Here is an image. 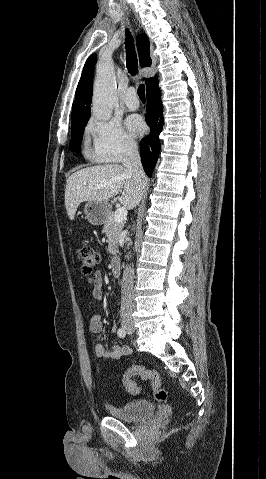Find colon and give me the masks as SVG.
Returning <instances> with one entry per match:
<instances>
[{
	"instance_id": "5ec220e1",
	"label": "colon",
	"mask_w": 266,
	"mask_h": 479,
	"mask_svg": "<svg viewBox=\"0 0 266 479\" xmlns=\"http://www.w3.org/2000/svg\"><path fill=\"white\" fill-rule=\"evenodd\" d=\"M75 258L79 264L80 272L84 276H90L95 266L100 261V254L90 246H80L75 250ZM139 377L142 380H149L155 390V397L160 402L168 400L167 392L161 386V378L158 372L148 370L140 366L127 368L122 375V382L125 389L131 394H137L139 387L132 380L133 377Z\"/></svg>"
}]
</instances>
